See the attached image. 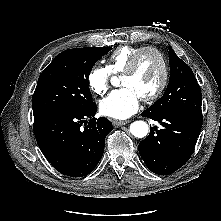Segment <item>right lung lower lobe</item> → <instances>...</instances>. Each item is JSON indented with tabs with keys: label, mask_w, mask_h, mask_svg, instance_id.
Instances as JSON below:
<instances>
[{
	"label": "right lung lower lobe",
	"mask_w": 221,
	"mask_h": 221,
	"mask_svg": "<svg viewBox=\"0 0 221 221\" xmlns=\"http://www.w3.org/2000/svg\"><path fill=\"white\" fill-rule=\"evenodd\" d=\"M96 111L94 104L84 111H58L34 117L38 146L60 173L83 177L100 161L112 124L104 117L96 119Z\"/></svg>",
	"instance_id": "98d812e1"
}]
</instances>
